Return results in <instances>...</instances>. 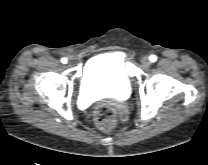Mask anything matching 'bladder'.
Returning <instances> with one entry per match:
<instances>
[{
    "label": "bladder",
    "mask_w": 208,
    "mask_h": 165,
    "mask_svg": "<svg viewBox=\"0 0 208 165\" xmlns=\"http://www.w3.org/2000/svg\"><path fill=\"white\" fill-rule=\"evenodd\" d=\"M130 92V76L120 54L102 53L86 62L81 78L83 97L124 100Z\"/></svg>",
    "instance_id": "obj_1"
}]
</instances>
